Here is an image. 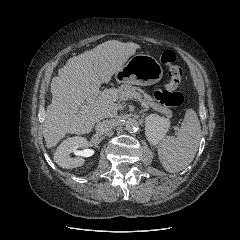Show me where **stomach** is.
Returning <instances> with one entry per match:
<instances>
[{"label": "stomach", "mask_w": 240, "mask_h": 240, "mask_svg": "<svg viewBox=\"0 0 240 240\" xmlns=\"http://www.w3.org/2000/svg\"><path fill=\"white\" fill-rule=\"evenodd\" d=\"M163 69L160 63L147 54L134 55L118 72L115 78L118 82L135 85H152L161 80Z\"/></svg>", "instance_id": "stomach-1"}]
</instances>
